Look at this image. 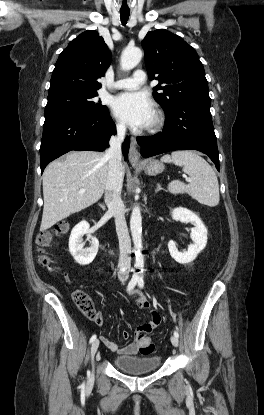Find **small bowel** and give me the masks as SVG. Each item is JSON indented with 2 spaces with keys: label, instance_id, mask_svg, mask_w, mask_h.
<instances>
[{
  "label": "small bowel",
  "instance_id": "obj_1",
  "mask_svg": "<svg viewBox=\"0 0 264 415\" xmlns=\"http://www.w3.org/2000/svg\"><path fill=\"white\" fill-rule=\"evenodd\" d=\"M133 295L135 296V299H136V305L140 309L150 308L149 300L145 296H143L139 291H134ZM96 322L99 325H103L104 318L102 316H99V320ZM160 322H161V316L159 312L152 311L149 320L145 322L144 324H142L139 327V329L144 333H150L153 329H155L160 324ZM122 337L123 339H129L130 338L129 332L124 331L122 333ZM101 341L110 351L117 353L121 356H135L138 352H141L142 354H147L144 351L142 343L139 342L137 339V332L135 334V341L123 348L119 347V345L116 342L108 339L105 336L101 337Z\"/></svg>",
  "mask_w": 264,
  "mask_h": 415
}]
</instances>
